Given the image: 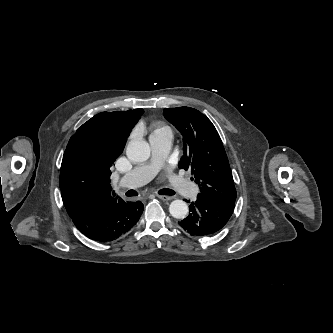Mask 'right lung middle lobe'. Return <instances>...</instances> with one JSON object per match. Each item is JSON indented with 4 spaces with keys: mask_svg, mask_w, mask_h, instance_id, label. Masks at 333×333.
<instances>
[{
    "mask_svg": "<svg viewBox=\"0 0 333 333\" xmlns=\"http://www.w3.org/2000/svg\"><path fill=\"white\" fill-rule=\"evenodd\" d=\"M108 133V124L105 121H100L93 128V137H106Z\"/></svg>",
    "mask_w": 333,
    "mask_h": 333,
    "instance_id": "dd1d6c3e",
    "label": "right lung middle lobe"
}]
</instances>
